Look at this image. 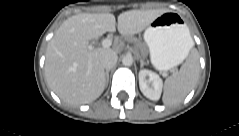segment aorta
Listing matches in <instances>:
<instances>
[{"mask_svg":"<svg viewBox=\"0 0 239 136\" xmlns=\"http://www.w3.org/2000/svg\"><path fill=\"white\" fill-rule=\"evenodd\" d=\"M133 63V58L129 55H126L122 59V64L125 66H131Z\"/></svg>","mask_w":239,"mask_h":136,"instance_id":"obj_1","label":"aorta"}]
</instances>
